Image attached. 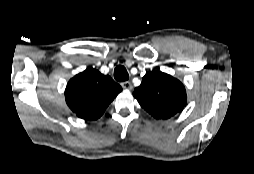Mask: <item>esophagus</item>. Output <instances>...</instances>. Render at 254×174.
I'll return each mask as SVG.
<instances>
[{
	"mask_svg": "<svg viewBox=\"0 0 254 174\" xmlns=\"http://www.w3.org/2000/svg\"><path fill=\"white\" fill-rule=\"evenodd\" d=\"M121 86L125 90H132V84L128 81L122 82Z\"/></svg>",
	"mask_w": 254,
	"mask_h": 174,
	"instance_id": "esophagus-1",
	"label": "esophagus"
}]
</instances>
